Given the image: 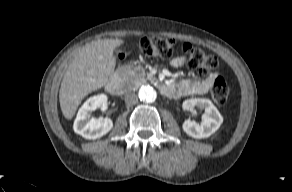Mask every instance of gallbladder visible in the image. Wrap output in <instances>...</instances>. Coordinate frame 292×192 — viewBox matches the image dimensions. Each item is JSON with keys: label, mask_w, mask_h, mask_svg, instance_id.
<instances>
[{"label": "gallbladder", "mask_w": 292, "mask_h": 192, "mask_svg": "<svg viewBox=\"0 0 292 192\" xmlns=\"http://www.w3.org/2000/svg\"><path fill=\"white\" fill-rule=\"evenodd\" d=\"M115 51H116V53H118L119 52V49H116Z\"/></svg>", "instance_id": "gallbladder-1"}]
</instances>
